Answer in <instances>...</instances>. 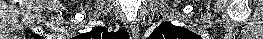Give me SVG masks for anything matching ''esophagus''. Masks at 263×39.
<instances>
[{"label":"esophagus","instance_id":"1","mask_svg":"<svg viewBox=\"0 0 263 39\" xmlns=\"http://www.w3.org/2000/svg\"><path fill=\"white\" fill-rule=\"evenodd\" d=\"M130 28H131V32H132V36L134 39H139V35H140V29H139V25L136 21H133L130 23Z\"/></svg>","mask_w":263,"mask_h":39}]
</instances>
